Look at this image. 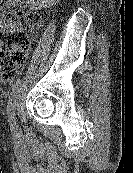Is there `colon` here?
Returning a JSON list of instances; mask_svg holds the SVG:
<instances>
[{"mask_svg": "<svg viewBox=\"0 0 133 173\" xmlns=\"http://www.w3.org/2000/svg\"><path fill=\"white\" fill-rule=\"evenodd\" d=\"M17 0H0V80L13 78L25 62L30 33L40 23L36 14L12 9Z\"/></svg>", "mask_w": 133, "mask_h": 173, "instance_id": "5ec220e1", "label": "colon"}]
</instances>
